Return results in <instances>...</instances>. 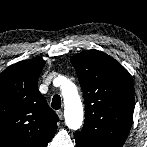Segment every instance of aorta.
<instances>
[{"instance_id": "aorta-1", "label": "aorta", "mask_w": 147, "mask_h": 147, "mask_svg": "<svg viewBox=\"0 0 147 147\" xmlns=\"http://www.w3.org/2000/svg\"><path fill=\"white\" fill-rule=\"evenodd\" d=\"M61 88L66 125L72 130H77L83 122V106L77 87L70 80L63 78Z\"/></svg>"}]
</instances>
